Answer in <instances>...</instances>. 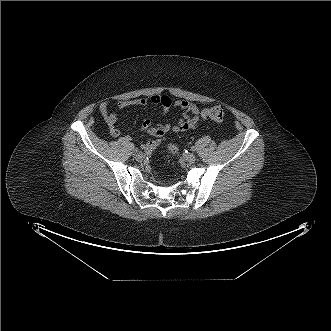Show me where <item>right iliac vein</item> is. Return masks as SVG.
<instances>
[{
    "instance_id": "right-iliac-vein-1",
    "label": "right iliac vein",
    "mask_w": 331,
    "mask_h": 331,
    "mask_svg": "<svg viewBox=\"0 0 331 331\" xmlns=\"http://www.w3.org/2000/svg\"><path fill=\"white\" fill-rule=\"evenodd\" d=\"M135 159L137 161H142L144 159V154L142 152H138L136 155H135Z\"/></svg>"
}]
</instances>
